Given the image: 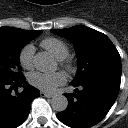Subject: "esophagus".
Segmentation results:
<instances>
[{
	"label": "esophagus",
	"instance_id": "34e87169",
	"mask_svg": "<svg viewBox=\"0 0 128 128\" xmlns=\"http://www.w3.org/2000/svg\"><path fill=\"white\" fill-rule=\"evenodd\" d=\"M40 94H41L42 97H46V98H52L53 97V94L46 93V92H43V91H41Z\"/></svg>",
	"mask_w": 128,
	"mask_h": 128
}]
</instances>
